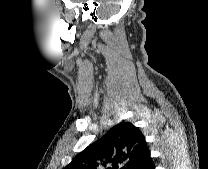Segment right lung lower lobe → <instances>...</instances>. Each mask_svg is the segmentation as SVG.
<instances>
[{"mask_svg": "<svg viewBox=\"0 0 208 169\" xmlns=\"http://www.w3.org/2000/svg\"><path fill=\"white\" fill-rule=\"evenodd\" d=\"M141 169H155L152 159L150 158Z\"/></svg>", "mask_w": 208, "mask_h": 169, "instance_id": "right-lung-lower-lobe-1", "label": "right lung lower lobe"}]
</instances>
